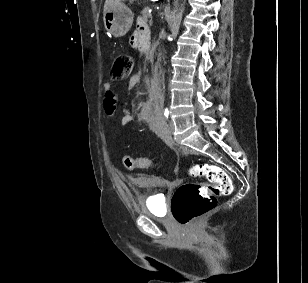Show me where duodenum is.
I'll return each mask as SVG.
<instances>
[{
    "label": "duodenum",
    "mask_w": 308,
    "mask_h": 283,
    "mask_svg": "<svg viewBox=\"0 0 308 283\" xmlns=\"http://www.w3.org/2000/svg\"><path fill=\"white\" fill-rule=\"evenodd\" d=\"M140 43H141V46L146 49L150 46L151 40L149 38V33H146L144 35V38H141Z\"/></svg>",
    "instance_id": "obj_1"
}]
</instances>
